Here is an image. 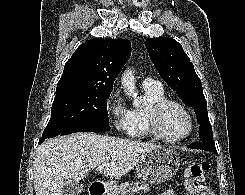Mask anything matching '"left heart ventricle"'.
<instances>
[{"instance_id": "1", "label": "left heart ventricle", "mask_w": 245, "mask_h": 195, "mask_svg": "<svg viewBox=\"0 0 245 195\" xmlns=\"http://www.w3.org/2000/svg\"><path fill=\"white\" fill-rule=\"evenodd\" d=\"M188 126V117L180 107L170 105L163 111L160 118V127L167 136H182L187 132Z\"/></svg>"}]
</instances>
